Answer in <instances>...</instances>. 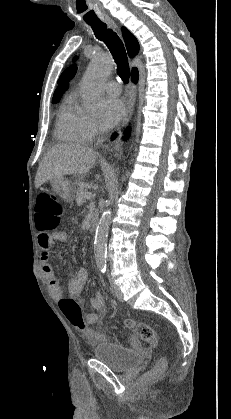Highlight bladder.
Wrapping results in <instances>:
<instances>
[{
  "instance_id": "obj_1",
  "label": "bladder",
  "mask_w": 231,
  "mask_h": 419,
  "mask_svg": "<svg viewBox=\"0 0 231 419\" xmlns=\"http://www.w3.org/2000/svg\"><path fill=\"white\" fill-rule=\"evenodd\" d=\"M93 358L107 364L116 372L128 373L140 367L146 357L120 344L101 341L92 350Z\"/></svg>"
}]
</instances>
